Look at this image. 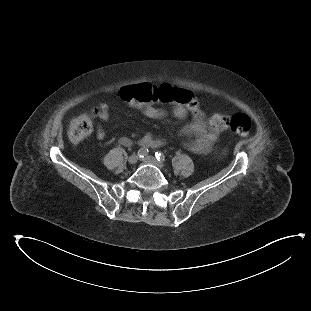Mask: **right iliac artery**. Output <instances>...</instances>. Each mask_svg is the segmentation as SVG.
<instances>
[{
  "instance_id": "right-iliac-artery-1",
  "label": "right iliac artery",
  "mask_w": 311,
  "mask_h": 311,
  "mask_svg": "<svg viewBox=\"0 0 311 311\" xmlns=\"http://www.w3.org/2000/svg\"><path fill=\"white\" fill-rule=\"evenodd\" d=\"M149 153L148 148L142 147L138 150L137 154L140 158H144Z\"/></svg>"
}]
</instances>
